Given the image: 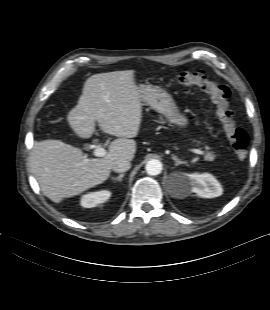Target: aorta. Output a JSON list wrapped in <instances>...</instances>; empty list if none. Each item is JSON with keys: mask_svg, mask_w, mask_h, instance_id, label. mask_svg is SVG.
Instances as JSON below:
<instances>
[{"mask_svg": "<svg viewBox=\"0 0 270 310\" xmlns=\"http://www.w3.org/2000/svg\"><path fill=\"white\" fill-rule=\"evenodd\" d=\"M146 172L151 176H156L162 171V163L157 159H151L146 163Z\"/></svg>", "mask_w": 270, "mask_h": 310, "instance_id": "aorta-1", "label": "aorta"}]
</instances>
